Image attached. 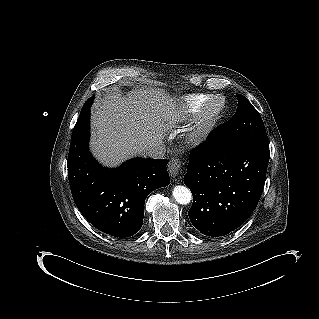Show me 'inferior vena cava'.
Here are the masks:
<instances>
[{
  "instance_id": "obj_1",
  "label": "inferior vena cava",
  "mask_w": 319,
  "mask_h": 319,
  "mask_svg": "<svg viewBox=\"0 0 319 319\" xmlns=\"http://www.w3.org/2000/svg\"><path fill=\"white\" fill-rule=\"evenodd\" d=\"M165 152L166 148L164 144L149 145L141 148V153L144 157H149L153 159L163 158Z\"/></svg>"
}]
</instances>
